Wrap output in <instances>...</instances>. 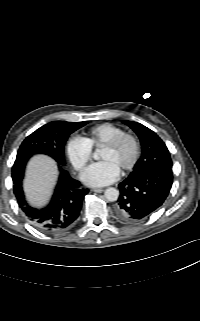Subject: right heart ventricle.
Wrapping results in <instances>:
<instances>
[{
  "label": "right heart ventricle",
  "mask_w": 200,
  "mask_h": 321,
  "mask_svg": "<svg viewBox=\"0 0 200 321\" xmlns=\"http://www.w3.org/2000/svg\"><path fill=\"white\" fill-rule=\"evenodd\" d=\"M124 132V129L112 123H102L92 127L84 137L88 145L92 148L99 147Z\"/></svg>",
  "instance_id": "right-heart-ventricle-1"
}]
</instances>
